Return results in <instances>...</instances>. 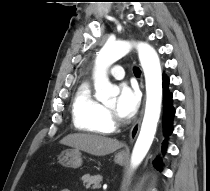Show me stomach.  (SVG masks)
Returning <instances> with one entry per match:
<instances>
[{"mask_svg": "<svg viewBox=\"0 0 210 191\" xmlns=\"http://www.w3.org/2000/svg\"><path fill=\"white\" fill-rule=\"evenodd\" d=\"M115 163L123 165L126 158L118 153L114 158ZM59 163L64 167L79 168L82 165L81 153L77 149L65 150L59 156Z\"/></svg>", "mask_w": 210, "mask_h": 191, "instance_id": "1", "label": "stomach"}]
</instances>
